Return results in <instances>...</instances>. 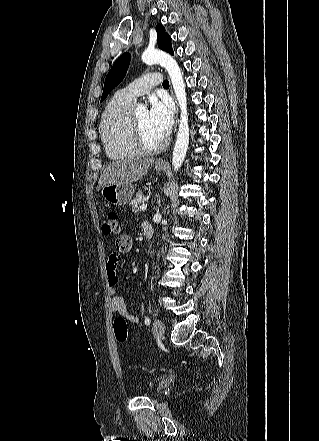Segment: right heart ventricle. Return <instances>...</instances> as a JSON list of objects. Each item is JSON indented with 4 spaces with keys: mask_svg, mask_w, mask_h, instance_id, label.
Segmentation results:
<instances>
[{
    "mask_svg": "<svg viewBox=\"0 0 319 441\" xmlns=\"http://www.w3.org/2000/svg\"><path fill=\"white\" fill-rule=\"evenodd\" d=\"M133 107L134 102L117 94L105 108L100 134L106 154L111 159L133 158L140 154L131 133Z\"/></svg>",
    "mask_w": 319,
    "mask_h": 441,
    "instance_id": "e07e8e85",
    "label": "right heart ventricle"
}]
</instances>
